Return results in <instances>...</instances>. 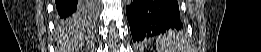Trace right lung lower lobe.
Listing matches in <instances>:
<instances>
[{"label":"right lung lower lobe","mask_w":261,"mask_h":52,"mask_svg":"<svg viewBox=\"0 0 261 52\" xmlns=\"http://www.w3.org/2000/svg\"><path fill=\"white\" fill-rule=\"evenodd\" d=\"M56 9L60 19L75 18L83 9L82 2L71 0H56ZM91 12V9L85 10Z\"/></svg>","instance_id":"98d812e1"}]
</instances>
